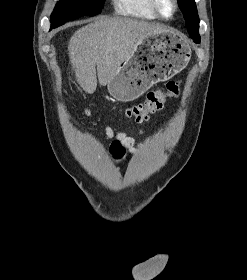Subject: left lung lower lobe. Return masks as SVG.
Here are the masks:
<instances>
[{"label": "left lung lower lobe", "instance_id": "0a47b994", "mask_svg": "<svg viewBox=\"0 0 247 280\" xmlns=\"http://www.w3.org/2000/svg\"><path fill=\"white\" fill-rule=\"evenodd\" d=\"M197 43H200V38H194Z\"/></svg>", "mask_w": 247, "mask_h": 280}]
</instances>
